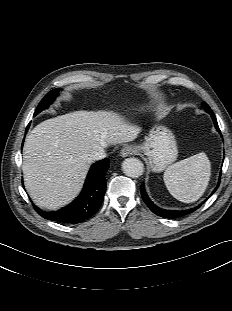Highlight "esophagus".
<instances>
[{
  "mask_svg": "<svg viewBox=\"0 0 232 311\" xmlns=\"http://www.w3.org/2000/svg\"><path fill=\"white\" fill-rule=\"evenodd\" d=\"M137 153V149L133 146H125L124 148L121 149L120 155L122 157H127L129 155H133Z\"/></svg>",
  "mask_w": 232,
  "mask_h": 311,
  "instance_id": "esophagus-1",
  "label": "esophagus"
}]
</instances>
